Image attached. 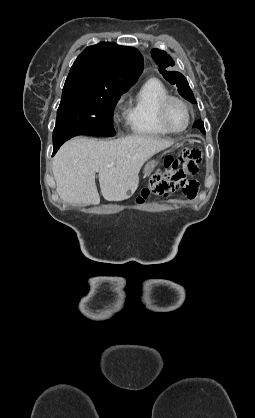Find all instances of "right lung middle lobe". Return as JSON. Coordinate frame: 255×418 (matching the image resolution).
<instances>
[{
  "mask_svg": "<svg viewBox=\"0 0 255 418\" xmlns=\"http://www.w3.org/2000/svg\"><path fill=\"white\" fill-rule=\"evenodd\" d=\"M126 91L64 86L53 141L77 135L114 136V107Z\"/></svg>",
  "mask_w": 255,
  "mask_h": 418,
  "instance_id": "dd1d6c3e",
  "label": "right lung middle lobe"
}]
</instances>
